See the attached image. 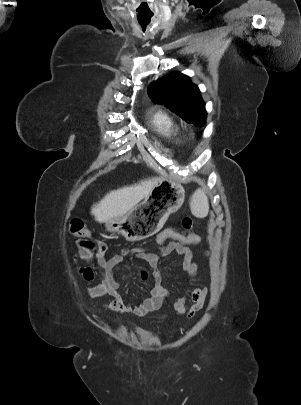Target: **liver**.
Returning <instances> with one entry per match:
<instances>
[{"mask_svg":"<svg viewBox=\"0 0 301 405\" xmlns=\"http://www.w3.org/2000/svg\"><path fill=\"white\" fill-rule=\"evenodd\" d=\"M160 180H162L161 177H155L141 181L138 184L110 191L101 201L93 205L91 214L96 221L103 223L123 217L141 200L146 198Z\"/></svg>","mask_w":301,"mask_h":405,"instance_id":"6515ba94","label":"liver"}]
</instances>
